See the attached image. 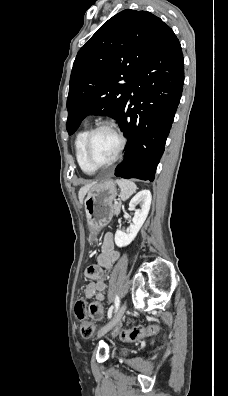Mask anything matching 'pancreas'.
Returning a JSON list of instances; mask_svg holds the SVG:
<instances>
[{"instance_id":"pancreas-1","label":"pancreas","mask_w":228,"mask_h":396,"mask_svg":"<svg viewBox=\"0 0 228 396\" xmlns=\"http://www.w3.org/2000/svg\"><path fill=\"white\" fill-rule=\"evenodd\" d=\"M121 204L117 203L113 205V213L118 214L120 211Z\"/></svg>"}]
</instances>
